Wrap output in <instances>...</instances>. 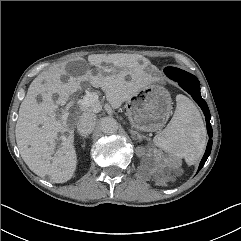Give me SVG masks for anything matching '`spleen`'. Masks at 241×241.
Here are the masks:
<instances>
[{
  "mask_svg": "<svg viewBox=\"0 0 241 241\" xmlns=\"http://www.w3.org/2000/svg\"><path fill=\"white\" fill-rule=\"evenodd\" d=\"M171 121L153 139L154 144L177 158L194 165L206 144V129L196 105L186 96L177 95Z\"/></svg>",
  "mask_w": 241,
  "mask_h": 241,
  "instance_id": "obj_1",
  "label": "spleen"
}]
</instances>
